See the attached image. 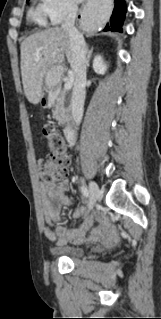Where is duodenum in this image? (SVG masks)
Here are the masks:
<instances>
[{"label":"duodenum","mask_w":161,"mask_h":319,"mask_svg":"<svg viewBox=\"0 0 161 319\" xmlns=\"http://www.w3.org/2000/svg\"><path fill=\"white\" fill-rule=\"evenodd\" d=\"M64 131H65V137L68 141L69 144H74L75 142V133H74V129L72 127V125L70 124H66L65 125V128H64Z\"/></svg>","instance_id":"duodenum-1"}]
</instances>
